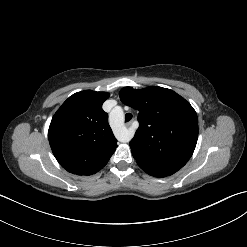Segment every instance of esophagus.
<instances>
[{
	"instance_id": "esophagus-1",
	"label": "esophagus",
	"mask_w": 247,
	"mask_h": 247,
	"mask_svg": "<svg viewBox=\"0 0 247 247\" xmlns=\"http://www.w3.org/2000/svg\"><path fill=\"white\" fill-rule=\"evenodd\" d=\"M131 124V122H127L126 125L129 126Z\"/></svg>"
}]
</instances>
